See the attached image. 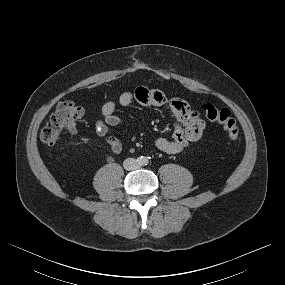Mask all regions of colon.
Returning <instances> with one entry per match:
<instances>
[{
    "label": "colon",
    "instance_id": "1",
    "mask_svg": "<svg viewBox=\"0 0 285 285\" xmlns=\"http://www.w3.org/2000/svg\"><path fill=\"white\" fill-rule=\"evenodd\" d=\"M203 115L210 121L218 122L232 141L240 138V126L231 111L207 103L202 106ZM83 116V110L71 100H61L44 127L41 138L47 145H55L65 131H73Z\"/></svg>",
    "mask_w": 285,
    "mask_h": 285
}]
</instances>
